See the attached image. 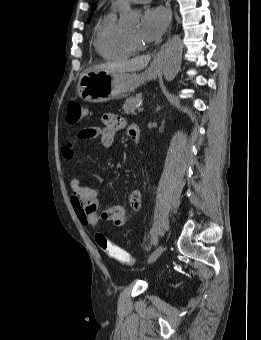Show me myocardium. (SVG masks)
Listing matches in <instances>:
<instances>
[{
	"mask_svg": "<svg viewBox=\"0 0 261 340\" xmlns=\"http://www.w3.org/2000/svg\"><path fill=\"white\" fill-rule=\"evenodd\" d=\"M126 38H127V41H128V43H129V45L132 47V49H134L135 51H142V50H144L145 48H146V46L143 44V43H141V42H139V41H137V40H135V39H133L131 36H129L127 33H126Z\"/></svg>",
	"mask_w": 261,
	"mask_h": 340,
	"instance_id": "obj_1",
	"label": "myocardium"
}]
</instances>
